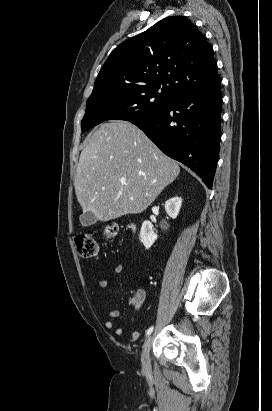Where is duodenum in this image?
Masks as SVG:
<instances>
[{
  "label": "duodenum",
  "instance_id": "obj_1",
  "mask_svg": "<svg viewBox=\"0 0 272 411\" xmlns=\"http://www.w3.org/2000/svg\"><path fill=\"white\" fill-rule=\"evenodd\" d=\"M131 228L134 230V229H135V225H134V224H132V225H131Z\"/></svg>",
  "mask_w": 272,
  "mask_h": 411
}]
</instances>
